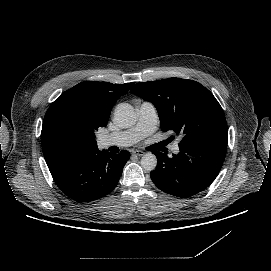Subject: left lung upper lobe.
<instances>
[{
    "instance_id": "left-lung-upper-lobe-1",
    "label": "left lung upper lobe",
    "mask_w": 271,
    "mask_h": 271,
    "mask_svg": "<svg viewBox=\"0 0 271 271\" xmlns=\"http://www.w3.org/2000/svg\"><path fill=\"white\" fill-rule=\"evenodd\" d=\"M131 92L154 104L162 131L183 134L179 146H198L205 142L227 144L223 110L213 94L200 83L168 78L137 83Z\"/></svg>"
}]
</instances>
